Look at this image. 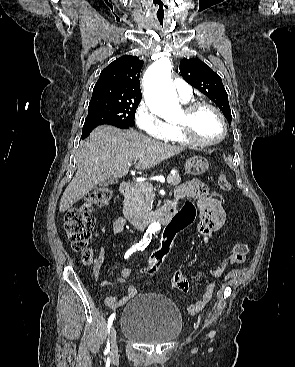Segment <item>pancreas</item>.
I'll use <instances>...</instances> for the list:
<instances>
[{"mask_svg":"<svg viewBox=\"0 0 295 367\" xmlns=\"http://www.w3.org/2000/svg\"><path fill=\"white\" fill-rule=\"evenodd\" d=\"M172 179L171 185H178L181 182L179 174L169 175ZM152 185L148 182H142L134 185L132 190L124 196V206L130 208L133 212L141 214L150 210L153 201Z\"/></svg>","mask_w":295,"mask_h":367,"instance_id":"pancreas-1","label":"pancreas"}]
</instances>
